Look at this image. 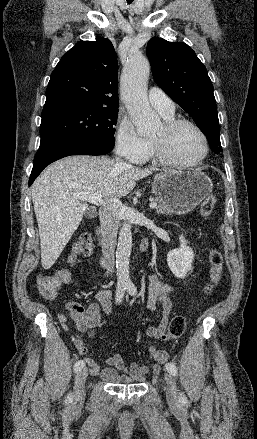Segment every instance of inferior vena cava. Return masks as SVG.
Returning a JSON list of instances; mask_svg holds the SVG:
<instances>
[{"instance_id": "1", "label": "inferior vena cava", "mask_w": 257, "mask_h": 439, "mask_svg": "<svg viewBox=\"0 0 257 439\" xmlns=\"http://www.w3.org/2000/svg\"><path fill=\"white\" fill-rule=\"evenodd\" d=\"M116 161L123 166H129L120 162L119 158ZM118 198H112L109 205H105L99 210V218L102 229V254L107 267V273L114 272V251L116 245L117 231H118V216L117 206L119 204Z\"/></svg>"}]
</instances>
